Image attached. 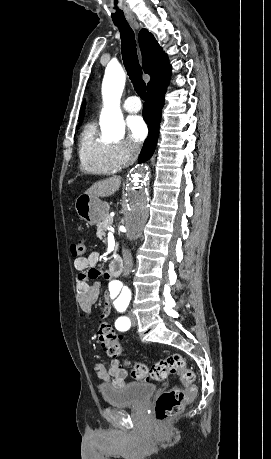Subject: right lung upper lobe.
<instances>
[{"label": "right lung upper lobe", "instance_id": "right-lung-upper-lobe-1", "mask_svg": "<svg viewBox=\"0 0 271 459\" xmlns=\"http://www.w3.org/2000/svg\"><path fill=\"white\" fill-rule=\"evenodd\" d=\"M139 44L143 56L144 72L151 76V80L147 84V88L154 82L170 73L171 67L168 62L167 55L157 43L154 36L146 29H142L139 33ZM85 110V102H83L79 120H83Z\"/></svg>", "mask_w": 271, "mask_h": 459}]
</instances>
